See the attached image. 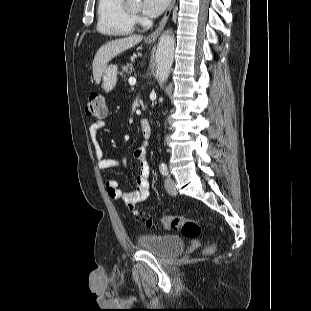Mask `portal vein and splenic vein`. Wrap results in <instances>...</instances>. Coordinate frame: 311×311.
<instances>
[{"instance_id": "1", "label": "portal vein and splenic vein", "mask_w": 311, "mask_h": 311, "mask_svg": "<svg viewBox=\"0 0 311 311\" xmlns=\"http://www.w3.org/2000/svg\"><path fill=\"white\" fill-rule=\"evenodd\" d=\"M129 84L131 86L135 85L136 84V79L134 77H130L129 80H128Z\"/></svg>"}]
</instances>
